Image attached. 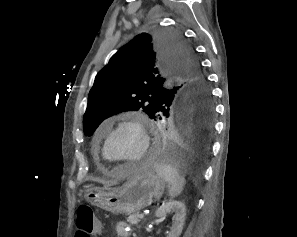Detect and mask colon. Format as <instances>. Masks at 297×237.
Listing matches in <instances>:
<instances>
[{
    "label": "colon",
    "instance_id": "1",
    "mask_svg": "<svg viewBox=\"0 0 297 237\" xmlns=\"http://www.w3.org/2000/svg\"><path fill=\"white\" fill-rule=\"evenodd\" d=\"M76 226V237H93L97 224L91 207L85 204L78 207L76 213Z\"/></svg>",
    "mask_w": 297,
    "mask_h": 237
}]
</instances>
